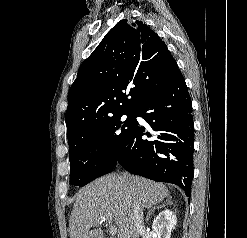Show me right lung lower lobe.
I'll return each instance as SVG.
<instances>
[{
  "instance_id": "right-lung-lower-lobe-1",
  "label": "right lung lower lobe",
  "mask_w": 247,
  "mask_h": 238,
  "mask_svg": "<svg viewBox=\"0 0 247 238\" xmlns=\"http://www.w3.org/2000/svg\"><path fill=\"white\" fill-rule=\"evenodd\" d=\"M137 120L117 164L130 173L181 187L190 196L194 175V123L191 97L180 70L134 112ZM150 137L149 140L142 136Z\"/></svg>"
}]
</instances>
